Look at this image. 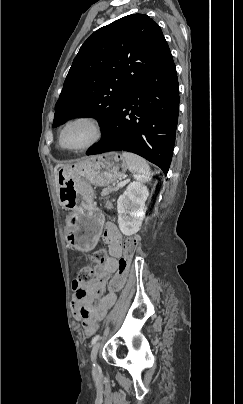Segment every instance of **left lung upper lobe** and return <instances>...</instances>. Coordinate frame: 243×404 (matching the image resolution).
Wrapping results in <instances>:
<instances>
[{
	"instance_id": "left-lung-upper-lobe-1",
	"label": "left lung upper lobe",
	"mask_w": 243,
	"mask_h": 404,
	"mask_svg": "<svg viewBox=\"0 0 243 404\" xmlns=\"http://www.w3.org/2000/svg\"><path fill=\"white\" fill-rule=\"evenodd\" d=\"M170 54L160 27L145 14L122 17L81 46L55 106L53 127L94 117L103 129L135 85Z\"/></svg>"
}]
</instances>
